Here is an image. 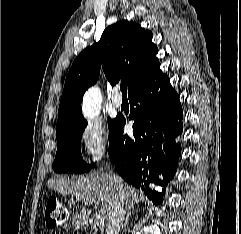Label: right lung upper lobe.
Wrapping results in <instances>:
<instances>
[{"label": "right lung upper lobe", "instance_id": "obj_1", "mask_svg": "<svg viewBox=\"0 0 241 234\" xmlns=\"http://www.w3.org/2000/svg\"><path fill=\"white\" fill-rule=\"evenodd\" d=\"M152 38L137 23L121 20L107 27L98 43L83 50L66 77L56 132L85 120L82 97L98 80L101 67L111 85L126 81L129 93L154 74L160 64Z\"/></svg>", "mask_w": 241, "mask_h": 234}]
</instances>
